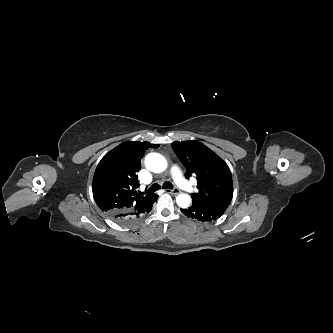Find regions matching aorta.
Returning <instances> with one entry per match:
<instances>
[{"label":"aorta","instance_id":"aorta-1","mask_svg":"<svg viewBox=\"0 0 333 333\" xmlns=\"http://www.w3.org/2000/svg\"><path fill=\"white\" fill-rule=\"evenodd\" d=\"M145 166L148 170L161 173L167 168L166 159L158 153H149L145 157ZM177 205L181 208H187L191 203V198L188 194H180L176 197Z\"/></svg>","mask_w":333,"mask_h":333}]
</instances>
